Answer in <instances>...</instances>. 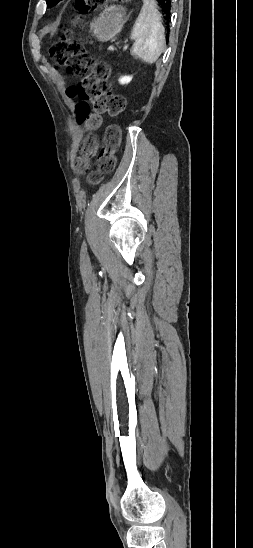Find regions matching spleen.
Wrapping results in <instances>:
<instances>
[{"label":"spleen","instance_id":"obj_1","mask_svg":"<svg viewBox=\"0 0 253 548\" xmlns=\"http://www.w3.org/2000/svg\"><path fill=\"white\" fill-rule=\"evenodd\" d=\"M164 32L154 0H143L131 33V39L135 40L132 53L148 64L155 63L165 46Z\"/></svg>","mask_w":253,"mask_h":548}]
</instances>
